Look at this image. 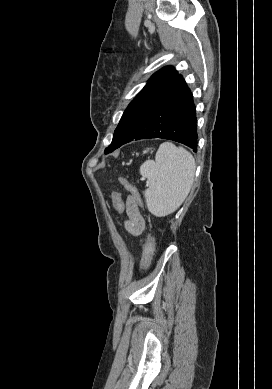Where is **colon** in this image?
Wrapping results in <instances>:
<instances>
[{"label": "colon", "instance_id": "obj_1", "mask_svg": "<svg viewBox=\"0 0 272 389\" xmlns=\"http://www.w3.org/2000/svg\"><path fill=\"white\" fill-rule=\"evenodd\" d=\"M120 182L123 187L129 192L130 196H132L137 202H140V196L138 190L135 186H133L128 180L124 178H120ZM112 200L115 210L120 213L123 211L125 203L121 198L120 193L113 192ZM154 255V237L151 233H149L145 240L144 252H143V262L142 266L144 270H147L152 262Z\"/></svg>", "mask_w": 272, "mask_h": 389}]
</instances>
